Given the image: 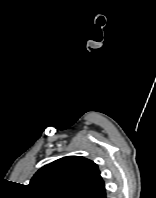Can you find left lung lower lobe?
Masks as SVG:
<instances>
[{"label": "left lung lower lobe", "mask_w": 156, "mask_h": 198, "mask_svg": "<svg viewBox=\"0 0 156 198\" xmlns=\"http://www.w3.org/2000/svg\"><path fill=\"white\" fill-rule=\"evenodd\" d=\"M98 198H106V192H104L103 194H101Z\"/></svg>", "instance_id": "1"}]
</instances>
